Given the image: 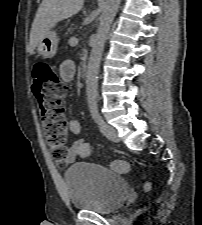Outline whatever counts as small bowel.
I'll return each instance as SVG.
<instances>
[{"instance_id":"obj_1","label":"small bowel","mask_w":202,"mask_h":225,"mask_svg":"<svg viewBox=\"0 0 202 225\" xmlns=\"http://www.w3.org/2000/svg\"><path fill=\"white\" fill-rule=\"evenodd\" d=\"M59 74L66 82H71L76 75V64L73 60L63 61L59 67ZM68 130L72 134H79L81 131V123L77 118H69L67 120ZM91 155V144L84 138L75 140L68 149L67 155L61 159L64 165H70L77 159H87Z\"/></svg>"}]
</instances>
